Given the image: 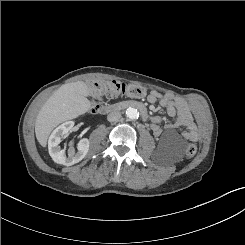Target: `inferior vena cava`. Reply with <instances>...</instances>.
I'll return each mask as SVG.
<instances>
[{"label": "inferior vena cava", "mask_w": 245, "mask_h": 245, "mask_svg": "<svg viewBox=\"0 0 245 245\" xmlns=\"http://www.w3.org/2000/svg\"><path fill=\"white\" fill-rule=\"evenodd\" d=\"M121 118V113L118 110H113L107 115V120L109 122L118 121Z\"/></svg>", "instance_id": "obj_1"}]
</instances>
